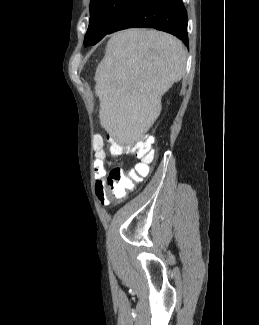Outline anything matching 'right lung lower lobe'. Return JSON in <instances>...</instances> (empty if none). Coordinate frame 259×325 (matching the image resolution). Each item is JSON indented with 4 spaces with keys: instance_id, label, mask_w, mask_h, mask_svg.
Returning <instances> with one entry per match:
<instances>
[{
    "instance_id": "right-lung-lower-lobe-1",
    "label": "right lung lower lobe",
    "mask_w": 259,
    "mask_h": 325,
    "mask_svg": "<svg viewBox=\"0 0 259 325\" xmlns=\"http://www.w3.org/2000/svg\"><path fill=\"white\" fill-rule=\"evenodd\" d=\"M132 27L162 30L188 45L187 13L181 0H131L107 34Z\"/></svg>"
}]
</instances>
